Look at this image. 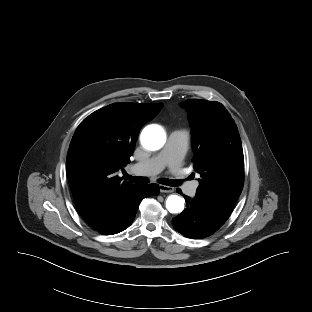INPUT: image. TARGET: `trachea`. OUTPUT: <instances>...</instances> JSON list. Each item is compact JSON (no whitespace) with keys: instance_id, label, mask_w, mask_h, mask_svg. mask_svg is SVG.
<instances>
[{"instance_id":"obj_1","label":"trachea","mask_w":312,"mask_h":312,"mask_svg":"<svg viewBox=\"0 0 312 312\" xmlns=\"http://www.w3.org/2000/svg\"><path fill=\"white\" fill-rule=\"evenodd\" d=\"M126 179H128L129 181L133 182V183H138V184H147L149 183V179L146 177H142V176H131L126 174L125 175ZM159 183L167 185V186H172V187H176L180 185V181L179 180H172V179H159Z\"/></svg>"}]
</instances>
